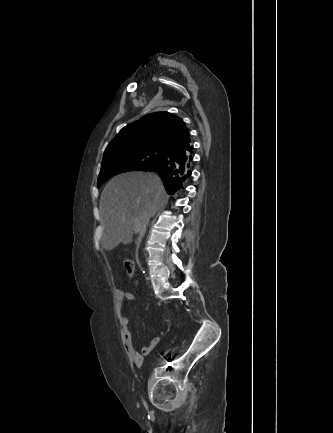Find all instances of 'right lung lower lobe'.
Wrapping results in <instances>:
<instances>
[{
  "instance_id": "98d812e1",
  "label": "right lung lower lobe",
  "mask_w": 333,
  "mask_h": 433,
  "mask_svg": "<svg viewBox=\"0 0 333 433\" xmlns=\"http://www.w3.org/2000/svg\"><path fill=\"white\" fill-rule=\"evenodd\" d=\"M192 149L191 144L175 149L167 153L161 162L148 169L159 173L169 194L183 189L185 181L191 176Z\"/></svg>"
}]
</instances>
